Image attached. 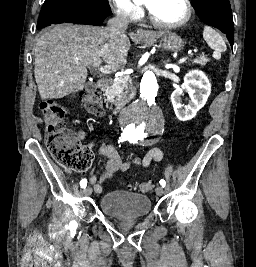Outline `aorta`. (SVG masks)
Here are the masks:
<instances>
[{
    "label": "aorta",
    "mask_w": 256,
    "mask_h": 267,
    "mask_svg": "<svg viewBox=\"0 0 256 267\" xmlns=\"http://www.w3.org/2000/svg\"><path fill=\"white\" fill-rule=\"evenodd\" d=\"M156 75L146 72L141 81V98L134 101L131 108H126L125 117H120V127H160L165 117H160L161 108L151 104L157 97ZM124 133H138L142 143H159V138H153L157 128H124Z\"/></svg>",
    "instance_id": "obj_1"
}]
</instances>
